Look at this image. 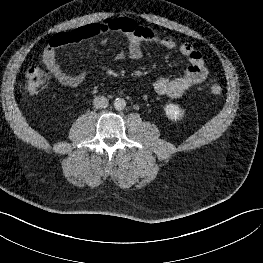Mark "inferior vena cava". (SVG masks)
<instances>
[{
    "label": "inferior vena cava",
    "mask_w": 263,
    "mask_h": 263,
    "mask_svg": "<svg viewBox=\"0 0 263 263\" xmlns=\"http://www.w3.org/2000/svg\"><path fill=\"white\" fill-rule=\"evenodd\" d=\"M108 100L104 96H98L94 99L93 105L97 109L106 108L108 106Z\"/></svg>",
    "instance_id": "inferior-vena-cava-1"
}]
</instances>
